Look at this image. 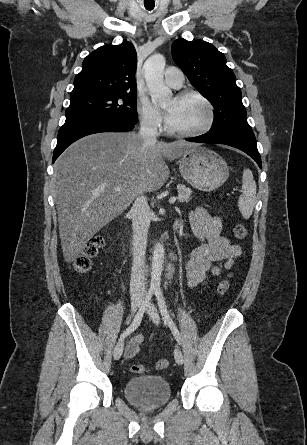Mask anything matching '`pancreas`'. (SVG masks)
<instances>
[{"label":"pancreas","instance_id":"1","mask_svg":"<svg viewBox=\"0 0 307 445\" xmlns=\"http://www.w3.org/2000/svg\"><path fill=\"white\" fill-rule=\"evenodd\" d=\"M178 192L181 194L180 198H178L179 202H188L191 196V188L189 186H185V184H177Z\"/></svg>","mask_w":307,"mask_h":445}]
</instances>
